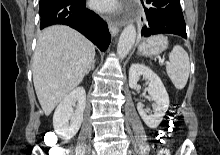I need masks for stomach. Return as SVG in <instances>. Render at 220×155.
<instances>
[{"label": "stomach", "mask_w": 220, "mask_h": 155, "mask_svg": "<svg viewBox=\"0 0 220 155\" xmlns=\"http://www.w3.org/2000/svg\"><path fill=\"white\" fill-rule=\"evenodd\" d=\"M167 46V38L163 35H156L147 39L140 45L139 53L143 56L156 55L164 51Z\"/></svg>", "instance_id": "1"}]
</instances>
